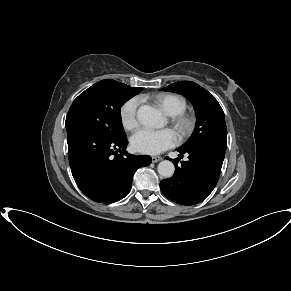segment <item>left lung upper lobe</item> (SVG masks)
<instances>
[{
	"instance_id": "left-lung-upper-lobe-1",
	"label": "left lung upper lobe",
	"mask_w": 291,
	"mask_h": 291,
	"mask_svg": "<svg viewBox=\"0 0 291 291\" xmlns=\"http://www.w3.org/2000/svg\"><path fill=\"white\" fill-rule=\"evenodd\" d=\"M162 90L184 95L190 100L196 111L195 130L190 139L179 148L184 149L196 145L227 146L224 112L212 94L191 81L176 82Z\"/></svg>"
}]
</instances>
